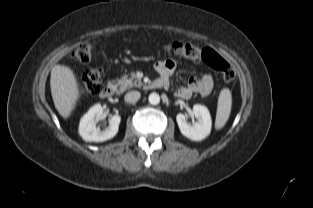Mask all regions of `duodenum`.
Listing matches in <instances>:
<instances>
[{"label":"duodenum","mask_w":313,"mask_h":208,"mask_svg":"<svg viewBox=\"0 0 313 208\" xmlns=\"http://www.w3.org/2000/svg\"><path fill=\"white\" fill-rule=\"evenodd\" d=\"M166 84H167L166 81H164L162 79H158V80L153 81L151 83V86L154 88H162ZM115 91H116V86L112 83H109L102 88L100 96L104 99H107V98L112 97L114 95Z\"/></svg>","instance_id":"410a0bca"}]
</instances>
